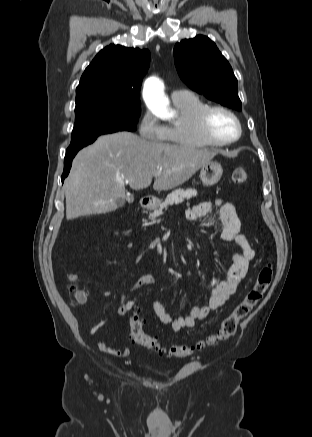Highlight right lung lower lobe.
Returning <instances> with one entry per match:
<instances>
[{
  "instance_id": "1",
  "label": "right lung lower lobe",
  "mask_w": 312,
  "mask_h": 437,
  "mask_svg": "<svg viewBox=\"0 0 312 437\" xmlns=\"http://www.w3.org/2000/svg\"><path fill=\"white\" fill-rule=\"evenodd\" d=\"M77 152H72V153L66 154V156H65V159H64V172H63L62 178H61L62 183H63L65 177H67V175L69 174V171H70V168H71V165H72V159L77 154Z\"/></svg>"
}]
</instances>
